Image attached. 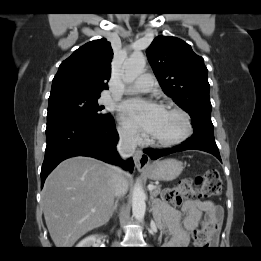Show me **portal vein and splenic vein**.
<instances>
[{"instance_id":"1","label":"portal vein and splenic vein","mask_w":261,"mask_h":261,"mask_svg":"<svg viewBox=\"0 0 261 261\" xmlns=\"http://www.w3.org/2000/svg\"><path fill=\"white\" fill-rule=\"evenodd\" d=\"M156 188V186L155 185H148V189L150 190V191H152L153 189H155Z\"/></svg>"}]
</instances>
